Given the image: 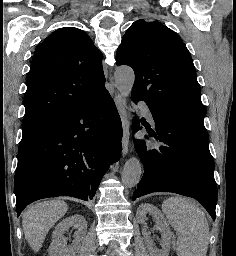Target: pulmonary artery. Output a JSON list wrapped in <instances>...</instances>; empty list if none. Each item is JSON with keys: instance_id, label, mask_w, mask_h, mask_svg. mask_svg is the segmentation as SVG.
Returning a JSON list of instances; mask_svg holds the SVG:
<instances>
[{"instance_id": "pulmonary-artery-1", "label": "pulmonary artery", "mask_w": 236, "mask_h": 256, "mask_svg": "<svg viewBox=\"0 0 236 256\" xmlns=\"http://www.w3.org/2000/svg\"><path fill=\"white\" fill-rule=\"evenodd\" d=\"M135 105H136V106H141V107H140L141 111L144 113V115H145L151 122H153V118H152L151 111H150L149 107H148L145 103L142 104L141 101H136V102H135Z\"/></svg>"}]
</instances>
